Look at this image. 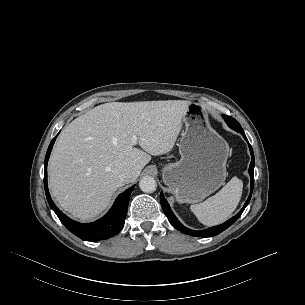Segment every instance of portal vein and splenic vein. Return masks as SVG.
Returning a JSON list of instances; mask_svg holds the SVG:
<instances>
[{"mask_svg":"<svg viewBox=\"0 0 305 305\" xmlns=\"http://www.w3.org/2000/svg\"><path fill=\"white\" fill-rule=\"evenodd\" d=\"M133 139H134V141H136V139H137V138L134 136V138H133Z\"/></svg>","mask_w":305,"mask_h":305,"instance_id":"1","label":"portal vein and splenic vein"}]
</instances>
